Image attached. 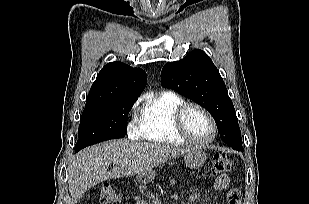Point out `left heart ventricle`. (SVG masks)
<instances>
[{
    "mask_svg": "<svg viewBox=\"0 0 309 204\" xmlns=\"http://www.w3.org/2000/svg\"><path fill=\"white\" fill-rule=\"evenodd\" d=\"M185 125L189 133L198 140H207L212 135V127L207 117L198 109L191 108L185 115Z\"/></svg>",
    "mask_w": 309,
    "mask_h": 204,
    "instance_id": "1",
    "label": "left heart ventricle"
}]
</instances>
